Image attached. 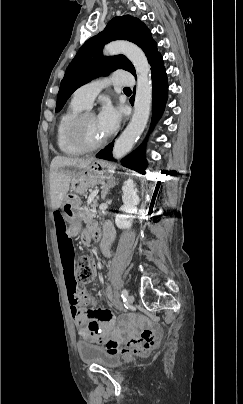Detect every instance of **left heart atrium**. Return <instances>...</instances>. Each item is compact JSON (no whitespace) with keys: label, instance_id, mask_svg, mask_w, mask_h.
I'll return each mask as SVG.
<instances>
[{"label":"left heart atrium","instance_id":"left-heart-atrium-1","mask_svg":"<svg viewBox=\"0 0 243 404\" xmlns=\"http://www.w3.org/2000/svg\"><path fill=\"white\" fill-rule=\"evenodd\" d=\"M95 117L99 133L103 139L108 138L116 131L119 114L109 102L103 104L100 112Z\"/></svg>","mask_w":243,"mask_h":404}]
</instances>
